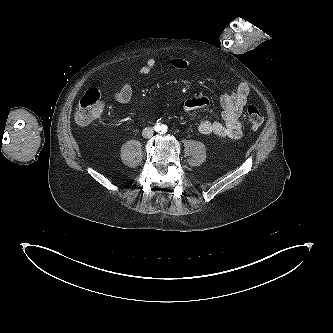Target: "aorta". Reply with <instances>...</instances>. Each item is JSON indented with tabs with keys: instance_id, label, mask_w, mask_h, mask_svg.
I'll return each mask as SVG.
<instances>
[{
	"instance_id": "obj_1",
	"label": "aorta",
	"mask_w": 333,
	"mask_h": 333,
	"mask_svg": "<svg viewBox=\"0 0 333 333\" xmlns=\"http://www.w3.org/2000/svg\"><path fill=\"white\" fill-rule=\"evenodd\" d=\"M158 131H161V132H163L164 131V129L161 127Z\"/></svg>"
}]
</instances>
